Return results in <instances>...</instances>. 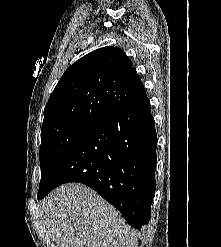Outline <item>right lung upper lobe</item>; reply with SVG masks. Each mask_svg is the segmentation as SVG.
I'll return each instance as SVG.
<instances>
[{
  "mask_svg": "<svg viewBox=\"0 0 221 247\" xmlns=\"http://www.w3.org/2000/svg\"><path fill=\"white\" fill-rule=\"evenodd\" d=\"M146 97L125 52L118 47L100 48L65 71L45 107L42 130L70 123L95 126Z\"/></svg>",
  "mask_w": 221,
  "mask_h": 247,
  "instance_id": "cb5924a9",
  "label": "right lung upper lobe"
}]
</instances>
